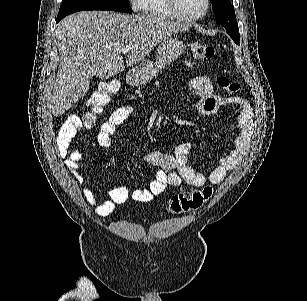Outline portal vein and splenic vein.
Here are the masks:
<instances>
[{
    "label": "portal vein and splenic vein",
    "mask_w": 307,
    "mask_h": 301,
    "mask_svg": "<svg viewBox=\"0 0 307 301\" xmlns=\"http://www.w3.org/2000/svg\"><path fill=\"white\" fill-rule=\"evenodd\" d=\"M129 50V46H123V48H121V52H129Z\"/></svg>",
    "instance_id": "18ae733b"
}]
</instances>
